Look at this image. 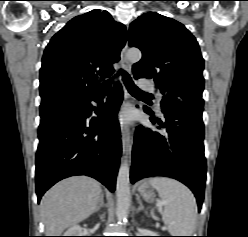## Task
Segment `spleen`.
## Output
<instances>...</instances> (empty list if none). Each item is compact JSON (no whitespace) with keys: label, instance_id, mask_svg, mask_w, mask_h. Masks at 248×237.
Instances as JSON below:
<instances>
[{"label":"spleen","instance_id":"spleen-1","mask_svg":"<svg viewBox=\"0 0 248 237\" xmlns=\"http://www.w3.org/2000/svg\"><path fill=\"white\" fill-rule=\"evenodd\" d=\"M164 201L162 219L172 236H191L197 215L196 200L192 192L180 182L155 177L149 180Z\"/></svg>","mask_w":248,"mask_h":237}]
</instances>
